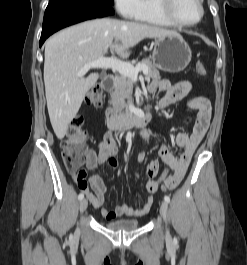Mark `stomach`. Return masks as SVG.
Returning <instances> with one entry per match:
<instances>
[{"instance_id": "0dacf381", "label": "stomach", "mask_w": 247, "mask_h": 265, "mask_svg": "<svg viewBox=\"0 0 247 265\" xmlns=\"http://www.w3.org/2000/svg\"><path fill=\"white\" fill-rule=\"evenodd\" d=\"M191 57L189 45L178 33L158 37L155 40L152 62L156 68L164 72L183 71L191 61Z\"/></svg>"}]
</instances>
